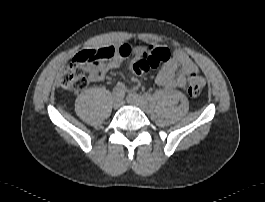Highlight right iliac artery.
I'll return each instance as SVG.
<instances>
[{
	"instance_id": "1",
	"label": "right iliac artery",
	"mask_w": 265,
	"mask_h": 202,
	"mask_svg": "<svg viewBox=\"0 0 265 202\" xmlns=\"http://www.w3.org/2000/svg\"><path fill=\"white\" fill-rule=\"evenodd\" d=\"M124 91L122 89H117L115 88L113 91H112V96L113 98H116V97H121L123 98L124 97Z\"/></svg>"
}]
</instances>
